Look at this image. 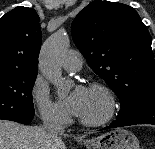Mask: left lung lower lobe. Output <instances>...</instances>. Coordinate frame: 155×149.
<instances>
[{
  "mask_svg": "<svg viewBox=\"0 0 155 149\" xmlns=\"http://www.w3.org/2000/svg\"><path fill=\"white\" fill-rule=\"evenodd\" d=\"M136 124L155 125V91L140 98L136 105L121 108L117 119L103 130Z\"/></svg>",
  "mask_w": 155,
  "mask_h": 149,
  "instance_id": "obj_1",
  "label": "left lung lower lobe"
}]
</instances>
